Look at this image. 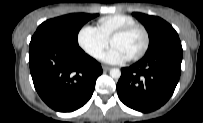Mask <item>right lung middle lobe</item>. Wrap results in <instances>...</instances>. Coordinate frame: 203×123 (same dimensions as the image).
Returning a JSON list of instances; mask_svg holds the SVG:
<instances>
[{
  "label": "right lung middle lobe",
  "instance_id": "dd1d6c3e",
  "mask_svg": "<svg viewBox=\"0 0 203 123\" xmlns=\"http://www.w3.org/2000/svg\"><path fill=\"white\" fill-rule=\"evenodd\" d=\"M96 14L74 13L43 22L32 36L31 42L43 41L66 47H79L78 32Z\"/></svg>",
  "mask_w": 203,
  "mask_h": 123
}]
</instances>
